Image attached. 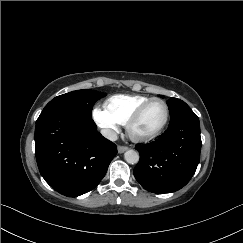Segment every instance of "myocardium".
I'll return each instance as SVG.
<instances>
[{"label":"myocardium","mask_w":243,"mask_h":243,"mask_svg":"<svg viewBox=\"0 0 243 243\" xmlns=\"http://www.w3.org/2000/svg\"><path fill=\"white\" fill-rule=\"evenodd\" d=\"M155 102H161L165 106L166 114H165V118H164V121H163L162 125L159 127L158 130H156L152 134H149V135H146V136L135 135L132 132V128H133L134 124H136L140 120V118L143 115L144 111L151 104H153ZM169 119H170V108H169V105H168L167 101L162 99V98H158V97L151 98L150 100H148L147 102H145L141 106H139L135 110V112L128 118V120H127V122L125 124L126 125V131H127L128 135H129V137L133 141L139 142V143L148 142V141H151V140L157 138L158 136H160L164 132V130L167 127V124L169 122Z\"/></svg>","instance_id":"myocardium-1"}]
</instances>
